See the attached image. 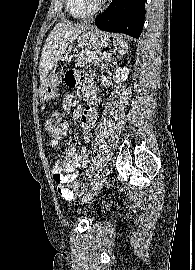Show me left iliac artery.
Wrapping results in <instances>:
<instances>
[{
    "label": "left iliac artery",
    "instance_id": "left-iliac-artery-1",
    "mask_svg": "<svg viewBox=\"0 0 195 270\" xmlns=\"http://www.w3.org/2000/svg\"><path fill=\"white\" fill-rule=\"evenodd\" d=\"M96 177H99V171H97V173L95 174L94 179H92L91 185H93V183H95Z\"/></svg>",
    "mask_w": 195,
    "mask_h": 270
}]
</instances>
